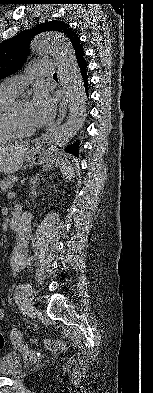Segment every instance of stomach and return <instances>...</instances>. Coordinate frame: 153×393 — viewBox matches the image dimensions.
Returning <instances> with one entry per match:
<instances>
[{
	"label": "stomach",
	"instance_id": "stomach-1",
	"mask_svg": "<svg viewBox=\"0 0 153 393\" xmlns=\"http://www.w3.org/2000/svg\"><path fill=\"white\" fill-rule=\"evenodd\" d=\"M53 153V151L48 150L45 146L34 144L31 147L26 146L24 159L30 165H42L50 161Z\"/></svg>",
	"mask_w": 153,
	"mask_h": 393
}]
</instances>
